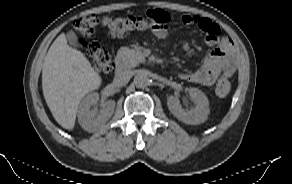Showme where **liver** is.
Instances as JSON below:
<instances>
[{
    "instance_id": "liver-1",
    "label": "liver",
    "mask_w": 292,
    "mask_h": 184,
    "mask_svg": "<svg viewBox=\"0 0 292 184\" xmlns=\"http://www.w3.org/2000/svg\"><path fill=\"white\" fill-rule=\"evenodd\" d=\"M102 79L89 60L60 34L50 46L42 68V89L54 119L65 129L75 125L78 106Z\"/></svg>"
}]
</instances>
